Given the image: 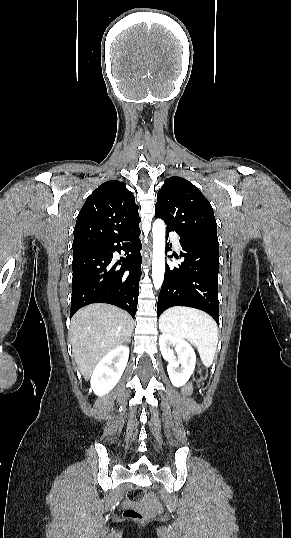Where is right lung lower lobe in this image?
I'll use <instances>...</instances> for the list:
<instances>
[{
  "label": "right lung lower lobe",
  "instance_id": "right-lung-lower-lobe-1",
  "mask_svg": "<svg viewBox=\"0 0 291 538\" xmlns=\"http://www.w3.org/2000/svg\"><path fill=\"white\" fill-rule=\"evenodd\" d=\"M139 236L137 227L107 243L74 251L70 316L83 306L103 302L135 317L142 261ZM121 249L126 256L114 264L113 252Z\"/></svg>",
  "mask_w": 291,
  "mask_h": 538
}]
</instances>
